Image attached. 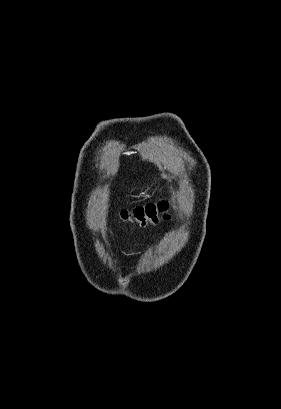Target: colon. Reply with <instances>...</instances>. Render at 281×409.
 I'll return each mask as SVG.
<instances>
[{"instance_id":"1","label":"colon","mask_w":281,"mask_h":409,"mask_svg":"<svg viewBox=\"0 0 281 409\" xmlns=\"http://www.w3.org/2000/svg\"><path fill=\"white\" fill-rule=\"evenodd\" d=\"M168 206L166 200L152 202L145 205H137L130 209H123L121 217L124 221L141 227L158 222V216L165 214Z\"/></svg>"}]
</instances>
